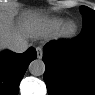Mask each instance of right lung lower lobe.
Listing matches in <instances>:
<instances>
[{
    "instance_id": "obj_1",
    "label": "right lung lower lobe",
    "mask_w": 95,
    "mask_h": 95,
    "mask_svg": "<svg viewBox=\"0 0 95 95\" xmlns=\"http://www.w3.org/2000/svg\"><path fill=\"white\" fill-rule=\"evenodd\" d=\"M37 56L36 50L30 47L22 54L6 51L0 54V94L17 95L19 84L29 63Z\"/></svg>"
}]
</instances>
